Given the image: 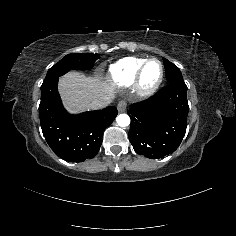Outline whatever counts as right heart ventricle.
<instances>
[{
    "label": "right heart ventricle",
    "mask_w": 236,
    "mask_h": 236,
    "mask_svg": "<svg viewBox=\"0 0 236 236\" xmlns=\"http://www.w3.org/2000/svg\"><path fill=\"white\" fill-rule=\"evenodd\" d=\"M146 58L125 57L111 64L108 69V81L116 88L130 87L137 71Z\"/></svg>",
    "instance_id": "e07e8e85"
}]
</instances>
